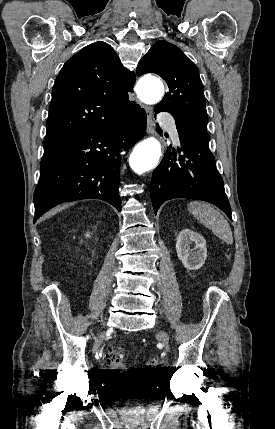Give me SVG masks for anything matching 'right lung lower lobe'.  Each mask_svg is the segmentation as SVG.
<instances>
[{
  "instance_id": "1",
  "label": "right lung lower lobe",
  "mask_w": 275,
  "mask_h": 429,
  "mask_svg": "<svg viewBox=\"0 0 275 429\" xmlns=\"http://www.w3.org/2000/svg\"><path fill=\"white\" fill-rule=\"evenodd\" d=\"M146 113L139 105L120 120L84 131L44 147L41 175L34 192V222L54 206L96 198L118 211L120 150H128L146 131Z\"/></svg>"
}]
</instances>
